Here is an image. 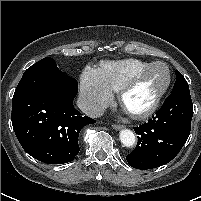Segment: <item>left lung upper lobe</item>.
I'll return each mask as SVG.
<instances>
[{
	"mask_svg": "<svg viewBox=\"0 0 201 201\" xmlns=\"http://www.w3.org/2000/svg\"><path fill=\"white\" fill-rule=\"evenodd\" d=\"M182 89H189V86L184 76L180 72L176 71V81L172 92L179 91Z\"/></svg>",
	"mask_w": 201,
	"mask_h": 201,
	"instance_id": "1",
	"label": "left lung upper lobe"
}]
</instances>
